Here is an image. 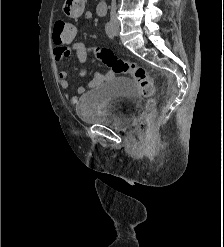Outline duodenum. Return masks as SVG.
<instances>
[{"instance_id":"duodenum-1","label":"duodenum","mask_w":224,"mask_h":247,"mask_svg":"<svg viewBox=\"0 0 224 247\" xmlns=\"http://www.w3.org/2000/svg\"><path fill=\"white\" fill-rule=\"evenodd\" d=\"M107 4L105 0H100L96 5V12L99 16H104L106 14Z\"/></svg>"}]
</instances>
